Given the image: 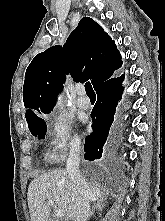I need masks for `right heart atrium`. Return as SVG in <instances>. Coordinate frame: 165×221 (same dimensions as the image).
<instances>
[{
  "label": "right heart atrium",
  "mask_w": 165,
  "mask_h": 221,
  "mask_svg": "<svg viewBox=\"0 0 165 221\" xmlns=\"http://www.w3.org/2000/svg\"><path fill=\"white\" fill-rule=\"evenodd\" d=\"M81 147V138L74 123L64 114L55 113L49 124L47 157L53 162L64 161L70 153Z\"/></svg>",
  "instance_id": "right-heart-atrium-1"
}]
</instances>
